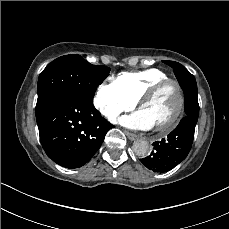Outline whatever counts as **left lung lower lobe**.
<instances>
[{"mask_svg":"<svg viewBox=\"0 0 229 229\" xmlns=\"http://www.w3.org/2000/svg\"><path fill=\"white\" fill-rule=\"evenodd\" d=\"M185 117L167 136L153 143L154 150L141 162L153 172H167L181 163L188 155L194 137L195 126L199 115L197 87L184 90Z\"/></svg>","mask_w":229,"mask_h":229,"instance_id":"left-lung-lower-lobe-1","label":"left lung lower lobe"}]
</instances>
